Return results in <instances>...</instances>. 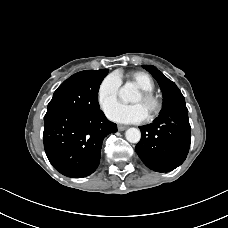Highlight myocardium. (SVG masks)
<instances>
[{
    "label": "myocardium",
    "instance_id": "1",
    "mask_svg": "<svg viewBox=\"0 0 228 228\" xmlns=\"http://www.w3.org/2000/svg\"><path fill=\"white\" fill-rule=\"evenodd\" d=\"M140 94L146 102L151 104V110L148 116L153 118L159 115L163 108L162 99L152 91L141 90Z\"/></svg>",
    "mask_w": 228,
    "mask_h": 228
}]
</instances>
